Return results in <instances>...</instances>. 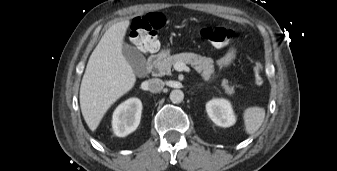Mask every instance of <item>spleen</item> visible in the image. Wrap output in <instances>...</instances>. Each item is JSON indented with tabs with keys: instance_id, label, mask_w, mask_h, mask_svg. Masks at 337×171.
Instances as JSON below:
<instances>
[{
	"instance_id": "obj_1",
	"label": "spleen",
	"mask_w": 337,
	"mask_h": 171,
	"mask_svg": "<svg viewBox=\"0 0 337 171\" xmlns=\"http://www.w3.org/2000/svg\"><path fill=\"white\" fill-rule=\"evenodd\" d=\"M265 119V109L261 107H249L243 113L245 131L247 134H254L262 125Z\"/></svg>"
}]
</instances>
